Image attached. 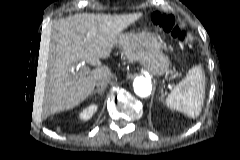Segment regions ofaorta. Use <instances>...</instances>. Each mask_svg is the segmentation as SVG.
Wrapping results in <instances>:
<instances>
[{"label": "aorta", "mask_w": 240, "mask_h": 160, "mask_svg": "<svg viewBox=\"0 0 240 160\" xmlns=\"http://www.w3.org/2000/svg\"><path fill=\"white\" fill-rule=\"evenodd\" d=\"M134 92L141 98L150 96L152 91L151 82L143 76L136 77L133 81Z\"/></svg>", "instance_id": "762f6f07"}]
</instances>
